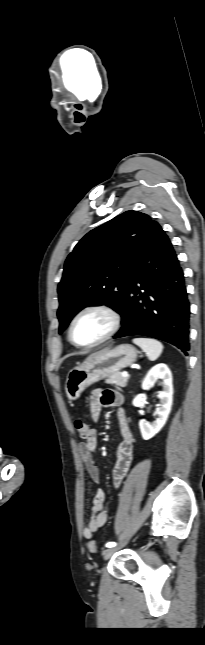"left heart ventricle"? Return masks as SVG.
Wrapping results in <instances>:
<instances>
[{"mask_svg":"<svg viewBox=\"0 0 205 645\" xmlns=\"http://www.w3.org/2000/svg\"><path fill=\"white\" fill-rule=\"evenodd\" d=\"M108 327V319L103 314L86 313L75 323L73 336L79 343H91L103 336Z\"/></svg>","mask_w":205,"mask_h":645,"instance_id":"left-heart-ventricle-1","label":"left heart ventricle"}]
</instances>
